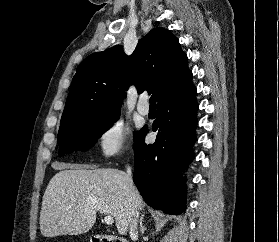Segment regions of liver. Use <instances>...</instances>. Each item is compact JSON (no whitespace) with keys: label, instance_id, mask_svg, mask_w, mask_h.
<instances>
[{"label":"liver","instance_id":"1","mask_svg":"<svg viewBox=\"0 0 279 242\" xmlns=\"http://www.w3.org/2000/svg\"><path fill=\"white\" fill-rule=\"evenodd\" d=\"M143 208L135 186L129 192L125 172L63 164L44 193L40 230L44 237L83 234L93 227L99 211L112 216L118 233L125 235L133 211Z\"/></svg>","mask_w":279,"mask_h":242}]
</instances>
